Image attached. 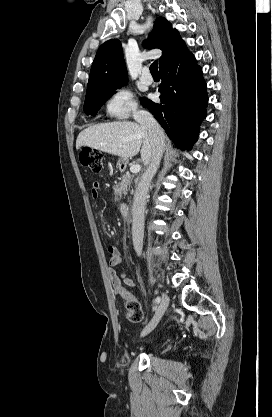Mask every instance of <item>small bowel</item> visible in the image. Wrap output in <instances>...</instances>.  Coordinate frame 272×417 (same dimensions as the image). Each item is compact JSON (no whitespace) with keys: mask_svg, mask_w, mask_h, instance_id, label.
<instances>
[{"mask_svg":"<svg viewBox=\"0 0 272 417\" xmlns=\"http://www.w3.org/2000/svg\"><path fill=\"white\" fill-rule=\"evenodd\" d=\"M99 189H100V183L95 181L92 184L91 189V196L93 199H97L99 195ZM108 253L110 255L109 259V276L111 279L113 290L116 294L118 293V288L120 286L125 287L127 290H132L135 288L136 283L135 281L127 276V274L124 271L118 272L116 268L123 266V259L119 252V249L115 246L108 247Z\"/></svg>","mask_w":272,"mask_h":417,"instance_id":"small-bowel-1","label":"small bowel"}]
</instances>
